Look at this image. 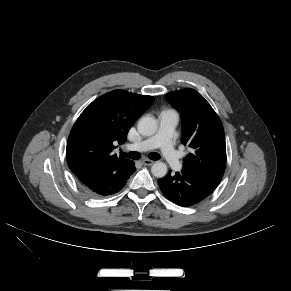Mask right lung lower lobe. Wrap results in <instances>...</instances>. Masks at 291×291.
Instances as JSON below:
<instances>
[{
    "mask_svg": "<svg viewBox=\"0 0 291 291\" xmlns=\"http://www.w3.org/2000/svg\"><path fill=\"white\" fill-rule=\"evenodd\" d=\"M135 169L133 161L98 162L75 175L85 194L103 197L119 192Z\"/></svg>",
    "mask_w": 291,
    "mask_h": 291,
    "instance_id": "obj_1",
    "label": "right lung lower lobe"
}]
</instances>
